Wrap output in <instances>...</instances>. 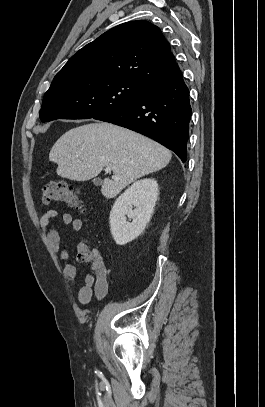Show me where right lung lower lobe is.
<instances>
[{
  "label": "right lung lower lobe",
  "mask_w": 265,
  "mask_h": 407,
  "mask_svg": "<svg viewBox=\"0 0 265 407\" xmlns=\"http://www.w3.org/2000/svg\"><path fill=\"white\" fill-rule=\"evenodd\" d=\"M191 115L189 90L177 65L169 76L148 86L135 103L94 119L150 137L186 163Z\"/></svg>",
  "instance_id": "obj_1"
}]
</instances>
